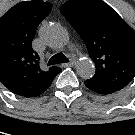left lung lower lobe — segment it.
Instances as JSON below:
<instances>
[{
  "label": "left lung lower lobe",
  "instance_id": "0a47b994",
  "mask_svg": "<svg viewBox=\"0 0 135 135\" xmlns=\"http://www.w3.org/2000/svg\"><path fill=\"white\" fill-rule=\"evenodd\" d=\"M84 83L90 90H92L98 94L107 95V94H111V93L115 92L111 89H108V88L99 86L93 82H90L89 80H86Z\"/></svg>",
  "mask_w": 135,
  "mask_h": 135
}]
</instances>
